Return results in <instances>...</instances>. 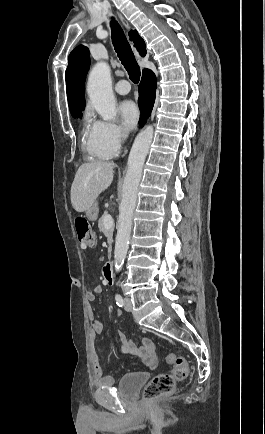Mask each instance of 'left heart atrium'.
I'll return each mask as SVG.
<instances>
[{
    "label": "left heart atrium",
    "instance_id": "obj_1",
    "mask_svg": "<svg viewBox=\"0 0 265 434\" xmlns=\"http://www.w3.org/2000/svg\"><path fill=\"white\" fill-rule=\"evenodd\" d=\"M119 114L122 126L130 130L139 119V109L132 101H124L119 106Z\"/></svg>",
    "mask_w": 265,
    "mask_h": 434
}]
</instances>
